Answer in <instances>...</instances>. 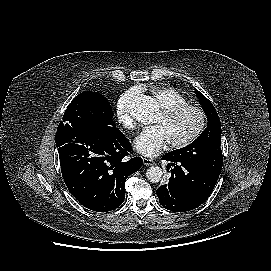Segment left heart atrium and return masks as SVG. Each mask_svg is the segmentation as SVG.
<instances>
[{"label":"left heart atrium","mask_w":271,"mask_h":271,"mask_svg":"<svg viewBox=\"0 0 271 271\" xmlns=\"http://www.w3.org/2000/svg\"><path fill=\"white\" fill-rule=\"evenodd\" d=\"M170 140L164 128L156 124L145 128L135 139V150L144 156L154 157L163 152Z\"/></svg>","instance_id":"obj_1"}]
</instances>
